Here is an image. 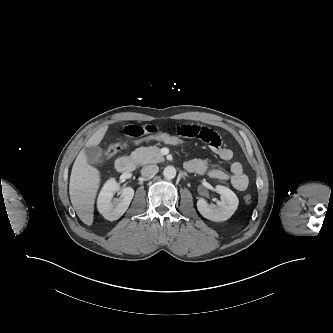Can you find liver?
Listing matches in <instances>:
<instances>
[{
    "label": "liver",
    "mask_w": 333,
    "mask_h": 333,
    "mask_svg": "<svg viewBox=\"0 0 333 333\" xmlns=\"http://www.w3.org/2000/svg\"><path fill=\"white\" fill-rule=\"evenodd\" d=\"M108 125L99 128L87 141L86 147L97 146L103 139ZM100 186V172L88 164L84 149L75 159L72 167L69 194L71 203L80 220L92 225L94 220V202Z\"/></svg>",
    "instance_id": "obj_1"
}]
</instances>
